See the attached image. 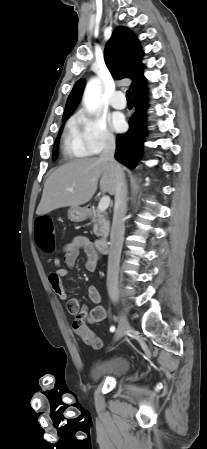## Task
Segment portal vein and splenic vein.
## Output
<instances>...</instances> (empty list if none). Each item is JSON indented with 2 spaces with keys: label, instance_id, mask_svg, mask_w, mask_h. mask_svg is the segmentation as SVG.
<instances>
[{
  "label": "portal vein and splenic vein",
  "instance_id": "portal-vein-and-splenic-vein-1",
  "mask_svg": "<svg viewBox=\"0 0 207 449\" xmlns=\"http://www.w3.org/2000/svg\"><path fill=\"white\" fill-rule=\"evenodd\" d=\"M109 204H110V197L107 195L103 196L98 204V210L101 212L105 211L109 207Z\"/></svg>",
  "mask_w": 207,
  "mask_h": 449
}]
</instances>
